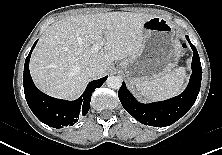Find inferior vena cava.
I'll list each match as a JSON object with an SVG mask.
<instances>
[{
  "label": "inferior vena cava",
  "instance_id": "1",
  "mask_svg": "<svg viewBox=\"0 0 222 155\" xmlns=\"http://www.w3.org/2000/svg\"><path fill=\"white\" fill-rule=\"evenodd\" d=\"M85 71L90 78L99 77L101 74V67L97 64H90L86 67Z\"/></svg>",
  "mask_w": 222,
  "mask_h": 155
}]
</instances>
